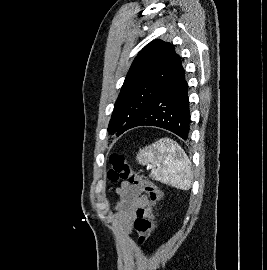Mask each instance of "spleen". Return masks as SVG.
I'll return each mask as SVG.
<instances>
[{"label":"spleen","instance_id":"3e777b00","mask_svg":"<svg viewBox=\"0 0 267 270\" xmlns=\"http://www.w3.org/2000/svg\"><path fill=\"white\" fill-rule=\"evenodd\" d=\"M136 159L139 164H151L152 179L182 190L191 187L190 161L184 150L172 139L161 138L141 149Z\"/></svg>","mask_w":267,"mask_h":270}]
</instances>
